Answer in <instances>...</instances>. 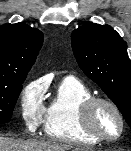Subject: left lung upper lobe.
<instances>
[{"mask_svg": "<svg viewBox=\"0 0 131 151\" xmlns=\"http://www.w3.org/2000/svg\"><path fill=\"white\" fill-rule=\"evenodd\" d=\"M72 49L83 72L106 93L131 127V61L127 44L109 25L74 30Z\"/></svg>", "mask_w": 131, "mask_h": 151, "instance_id": "5c2ea615", "label": "left lung upper lobe"}]
</instances>
